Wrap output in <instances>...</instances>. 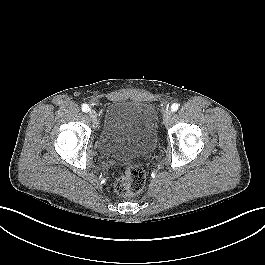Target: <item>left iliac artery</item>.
Masks as SVG:
<instances>
[{
  "label": "left iliac artery",
  "instance_id": "obj_1",
  "mask_svg": "<svg viewBox=\"0 0 265 265\" xmlns=\"http://www.w3.org/2000/svg\"><path fill=\"white\" fill-rule=\"evenodd\" d=\"M178 108H179V104L173 103L172 106H171V111L175 112V111L178 110Z\"/></svg>",
  "mask_w": 265,
  "mask_h": 265
}]
</instances>
